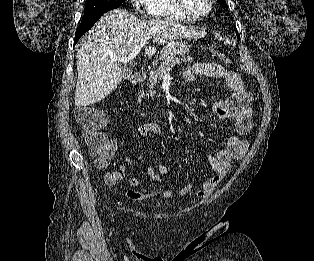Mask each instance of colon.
Wrapping results in <instances>:
<instances>
[{
  "label": "colon",
  "mask_w": 314,
  "mask_h": 261,
  "mask_svg": "<svg viewBox=\"0 0 314 261\" xmlns=\"http://www.w3.org/2000/svg\"><path fill=\"white\" fill-rule=\"evenodd\" d=\"M212 55L220 62L230 63L229 57L221 50L213 49ZM74 117L89 151L97 159H102L112 152L111 142L100 130L104 124V114L101 110L91 106L78 107ZM106 179L109 182L116 180L113 174H107Z\"/></svg>",
  "instance_id": "1"
}]
</instances>
